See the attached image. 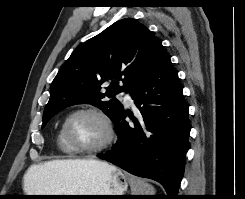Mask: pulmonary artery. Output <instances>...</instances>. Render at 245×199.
<instances>
[{
	"label": "pulmonary artery",
	"mask_w": 245,
	"mask_h": 199,
	"mask_svg": "<svg viewBox=\"0 0 245 199\" xmlns=\"http://www.w3.org/2000/svg\"><path fill=\"white\" fill-rule=\"evenodd\" d=\"M122 95L124 96L125 102L128 105H132L133 104V99H132L131 95L128 92H124V93H122Z\"/></svg>",
	"instance_id": "obj_1"
}]
</instances>
